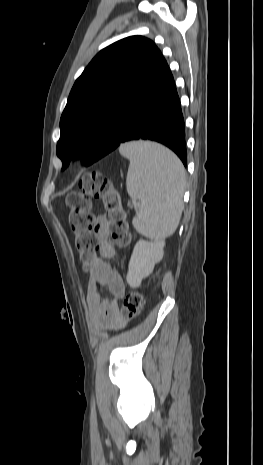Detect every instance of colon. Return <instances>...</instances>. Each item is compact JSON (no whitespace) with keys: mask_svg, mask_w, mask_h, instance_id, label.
I'll return each instance as SVG.
<instances>
[{"mask_svg":"<svg viewBox=\"0 0 263 465\" xmlns=\"http://www.w3.org/2000/svg\"><path fill=\"white\" fill-rule=\"evenodd\" d=\"M101 199L105 206V214L96 218L90 211L91 200ZM69 207L68 224L75 236V247L82 265L90 268L96 258L99 247L97 228L103 225L113 244L118 247L129 245L131 237L128 230L126 215L121 199L113 182L100 172L85 174L79 190L69 193L66 197ZM143 305V294L139 291L128 293L122 303L120 319L134 318Z\"/></svg>","mask_w":263,"mask_h":465,"instance_id":"obj_1","label":"colon"}]
</instances>
